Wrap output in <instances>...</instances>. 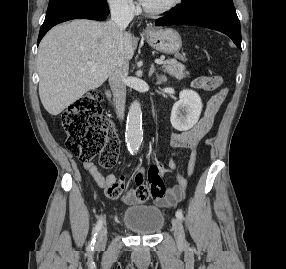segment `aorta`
Here are the masks:
<instances>
[{
	"label": "aorta",
	"mask_w": 286,
	"mask_h": 269,
	"mask_svg": "<svg viewBox=\"0 0 286 269\" xmlns=\"http://www.w3.org/2000/svg\"><path fill=\"white\" fill-rule=\"evenodd\" d=\"M125 137L129 152L136 153L143 140L142 110L137 100L133 101L129 108Z\"/></svg>",
	"instance_id": "aorta-1"
}]
</instances>
